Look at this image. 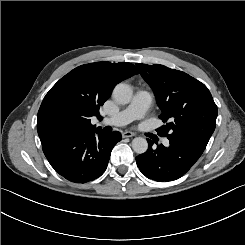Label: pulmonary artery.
Wrapping results in <instances>:
<instances>
[{
	"label": "pulmonary artery",
	"mask_w": 245,
	"mask_h": 245,
	"mask_svg": "<svg viewBox=\"0 0 245 245\" xmlns=\"http://www.w3.org/2000/svg\"><path fill=\"white\" fill-rule=\"evenodd\" d=\"M145 94L147 93L143 90L136 91L126 107H124L117 114L104 119L101 124L111 125V126H123L135 119H139L140 121H145L147 119L148 111L151 108V100ZM159 143L162 146L169 145L170 143L169 136L167 135L160 136Z\"/></svg>",
	"instance_id": "pulmonary-artery-1"
}]
</instances>
